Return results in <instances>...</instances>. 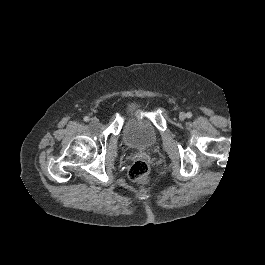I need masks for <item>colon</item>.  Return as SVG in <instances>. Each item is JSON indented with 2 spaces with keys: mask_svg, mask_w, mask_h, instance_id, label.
Wrapping results in <instances>:
<instances>
[{
  "mask_svg": "<svg viewBox=\"0 0 265 265\" xmlns=\"http://www.w3.org/2000/svg\"><path fill=\"white\" fill-rule=\"evenodd\" d=\"M128 175L133 181L147 184L150 180L149 164L142 159L134 161L129 168Z\"/></svg>",
  "mask_w": 265,
  "mask_h": 265,
  "instance_id": "colon-1",
  "label": "colon"
}]
</instances>
